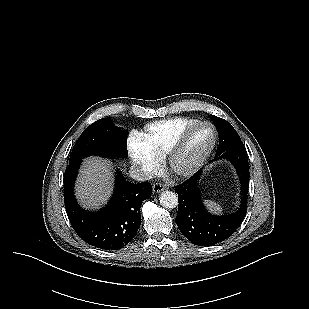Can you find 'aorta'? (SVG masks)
Instances as JSON below:
<instances>
[{"instance_id":"762f6f07","label":"aorta","mask_w":309,"mask_h":309,"mask_svg":"<svg viewBox=\"0 0 309 309\" xmlns=\"http://www.w3.org/2000/svg\"><path fill=\"white\" fill-rule=\"evenodd\" d=\"M160 204L168 209H173L178 205V197L172 191H163L159 197Z\"/></svg>"}]
</instances>
